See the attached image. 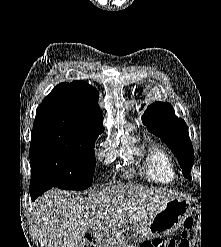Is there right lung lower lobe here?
<instances>
[{"mask_svg":"<svg viewBox=\"0 0 221 247\" xmlns=\"http://www.w3.org/2000/svg\"><path fill=\"white\" fill-rule=\"evenodd\" d=\"M52 187H53L52 185H50L49 183L45 182L44 180H41L40 178L31 176L30 195H31L32 201H35V199L39 195H41L45 191L51 189Z\"/></svg>","mask_w":221,"mask_h":247,"instance_id":"1","label":"right lung lower lobe"}]
</instances>
